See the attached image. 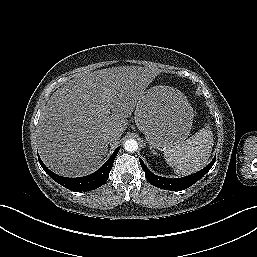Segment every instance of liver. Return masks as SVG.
Instances as JSON below:
<instances>
[{"label":"liver","instance_id":"6515ba94","mask_svg":"<svg viewBox=\"0 0 257 257\" xmlns=\"http://www.w3.org/2000/svg\"><path fill=\"white\" fill-rule=\"evenodd\" d=\"M158 73L147 67L106 68L80 73L57 89L37 129L45 165L66 177L83 176L97 168L108 150L104 133L113 131L117 140L121 137L127 118Z\"/></svg>","mask_w":257,"mask_h":257}]
</instances>
